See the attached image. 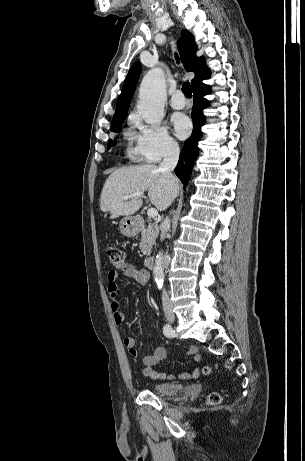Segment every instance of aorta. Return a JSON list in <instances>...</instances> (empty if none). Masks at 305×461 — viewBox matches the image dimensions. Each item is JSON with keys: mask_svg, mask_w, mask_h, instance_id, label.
Returning a JSON list of instances; mask_svg holds the SVG:
<instances>
[{"mask_svg": "<svg viewBox=\"0 0 305 461\" xmlns=\"http://www.w3.org/2000/svg\"><path fill=\"white\" fill-rule=\"evenodd\" d=\"M138 112L147 124L159 123L164 117V103L166 99V85L164 72L160 68H153L144 76L139 90ZM154 281L158 289L164 283L163 252L156 255Z\"/></svg>", "mask_w": 305, "mask_h": 461, "instance_id": "1", "label": "aorta"}]
</instances>
